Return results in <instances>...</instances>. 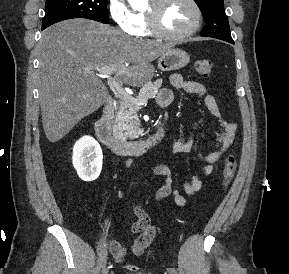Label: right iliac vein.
<instances>
[{"mask_svg":"<svg viewBox=\"0 0 289 274\" xmlns=\"http://www.w3.org/2000/svg\"><path fill=\"white\" fill-rule=\"evenodd\" d=\"M108 272H109V270H108V268H106V267H103L102 268V274H108Z\"/></svg>","mask_w":289,"mask_h":274,"instance_id":"obj_1","label":"right iliac vein"}]
</instances>
